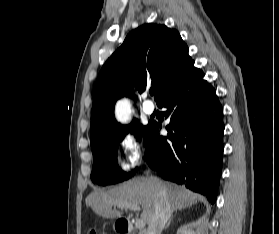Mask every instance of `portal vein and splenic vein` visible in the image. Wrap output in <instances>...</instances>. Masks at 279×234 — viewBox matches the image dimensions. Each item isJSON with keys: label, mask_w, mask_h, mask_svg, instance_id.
I'll use <instances>...</instances> for the list:
<instances>
[{"label": "portal vein and splenic vein", "mask_w": 279, "mask_h": 234, "mask_svg": "<svg viewBox=\"0 0 279 234\" xmlns=\"http://www.w3.org/2000/svg\"><path fill=\"white\" fill-rule=\"evenodd\" d=\"M118 207L130 209L133 211H140L139 205H134V204H130V203H120V204H118ZM144 226H145V222L142 219L137 220L135 223V227L138 229H142Z\"/></svg>", "instance_id": "18ae733b"}]
</instances>
